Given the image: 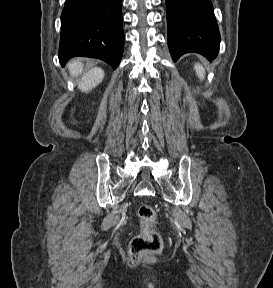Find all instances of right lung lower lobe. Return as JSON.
I'll return each mask as SVG.
<instances>
[{
    "label": "right lung lower lobe",
    "instance_id": "1",
    "mask_svg": "<svg viewBox=\"0 0 273 288\" xmlns=\"http://www.w3.org/2000/svg\"><path fill=\"white\" fill-rule=\"evenodd\" d=\"M122 0H66L61 15L59 61L76 56L101 59L114 69L124 49Z\"/></svg>",
    "mask_w": 273,
    "mask_h": 288
}]
</instances>
